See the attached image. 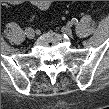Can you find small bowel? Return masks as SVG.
I'll list each match as a JSON object with an SVG mask.
<instances>
[{
  "mask_svg": "<svg viewBox=\"0 0 109 109\" xmlns=\"http://www.w3.org/2000/svg\"><path fill=\"white\" fill-rule=\"evenodd\" d=\"M34 6L37 7L40 10H46L49 8L51 2L50 1H34Z\"/></svg>",
  "mask_w": 109,
  "mask_h": 109,
  "instance_id": "1",
  "label": "small bowel"
}]
</instances>
